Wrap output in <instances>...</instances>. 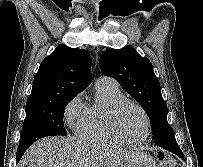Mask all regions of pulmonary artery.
<instances>
[{"instance_id":"1","label":"pulmonary artery","mask_w":203,"mask_h":167,"mask_svg":"<svg viewBox=\"0 0 203 167\" xmlns=\"http://www.w3.org/2000/svg\"><path fill=\"white\" fill-rule=\"evenodd\" d=\"M113 82H114V80L112 78L102 76L97 79L96 85H102V84L113 83Z\"/></svg>"}]
</instances>
